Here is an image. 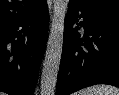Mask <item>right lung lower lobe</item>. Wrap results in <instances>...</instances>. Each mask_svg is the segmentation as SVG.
<instances>
[{
	"label": "right lung lower lobe",
	"instance_id": "98d812e1",
	"mask_svg": "<svg viewBox=\"0 0 119 95\" xmlns=\"http://www.w3.org/2000/svg\"><path fill=\"white\" fill-rule=\"evenodd\" d=\"M49 24L46 1L30 14L0 26V91L33 95Z\"/></svg>",
	"mask_w": 119,
	"mask_h": 95
}]
</instances>
